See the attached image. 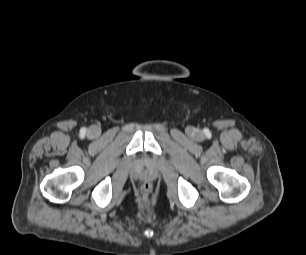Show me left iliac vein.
Instances as JSON below:
<instances>
[{
	"mask_svg": "<svg viewBox=\"0 0 306 255\" xmlns=\"http://www.w3.org/2000/svg\"><path fill=\"white\" fill-rule=\"evenodd\" d=\"M195 133V138H201L202 137V132H200V131H195L194 132Z\"/></svg>",
	"mask_w": 306,
	"mask_h": 255,
	"instance_id": "left-iliac-vein-1",
	"label": "left iliac vein"
}]
</instances>
